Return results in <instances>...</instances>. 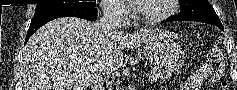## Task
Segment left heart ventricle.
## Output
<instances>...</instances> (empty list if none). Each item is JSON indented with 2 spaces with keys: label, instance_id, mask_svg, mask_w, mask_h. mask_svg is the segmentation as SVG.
<instances>
[{
  "label": "left heart ventricle",
  "instance_id": "1",
  "mask_svg": "<svg viewBox=\"0 0 237 90\" xmlns=\"http://www.w3.org/2000/svg\"><path fill=\"white\" fill-rule=\"evenodd\" d=\"M167 0L136 1V8L142 16H155L164 11Z\"/></svg>",
  "mask_w": 237,
  "mask_h": 90
}]
</instances>
